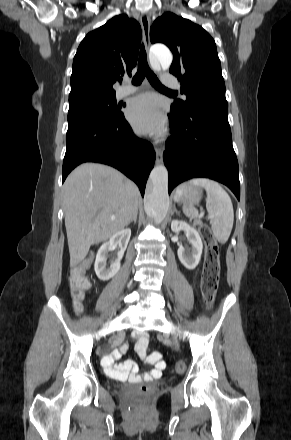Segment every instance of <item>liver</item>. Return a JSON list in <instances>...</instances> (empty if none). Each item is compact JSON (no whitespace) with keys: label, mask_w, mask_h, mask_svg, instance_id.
Segmentation results:
<instances>
[{"label":"liver","mask_w":291,"mask_h":440,"mask_svg":"<svg viewBox=\"0 0 291 440\" xmlns=\"http://www.w3.org/2000/svg\"><path fill=\"white\" fill-rule=\"evenodd\" d=\"M140 193L130 179L112 167L83 163L63 185V209L70 253L76 267L91 245L124 229L138 213Z\"/></svg>","instance_id":"liver-1"}]
</instances>
